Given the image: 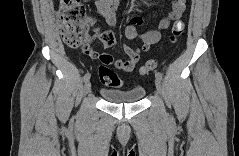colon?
<instances>
[{"label": "colon", "mask_w": 239, "mask_h": 156, "mask_svg": "<svg viewBox=\"0 0 239 156\" xmlns=\"http://www.w3.org/2000/svg\"><path fill=\"white\" fill-rule=\"evenodd\" d=\"M59 27L64 42L70 47H81L90 50L88 41L89 21L86 9L78 0H61L58 10ZM184 32V24L178 21L171 30L170 39L175 42ZM156 60H149L142 68L141 73L146 74L157 68ZM99 77L102 83L110 86H121L122 81L107 66H100Z\"/></svg>", "instance_id": "colon-1"}]
</instances>
